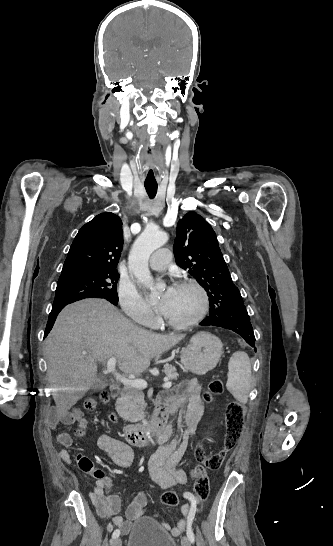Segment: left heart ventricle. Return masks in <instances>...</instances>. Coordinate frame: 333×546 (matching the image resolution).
<instances>
[{
	"mask_svg": "<svg viewBox=\"0 0 333 546\" xmlns=\"http://www.w3.org/2000/svg\"><path fill=\"white\" fill-rule=\"evenodd\" d=\"M201 304L199 293L192 287H175L165 315L176 322L191 320Z\"/></svg>",
	"mask_w": 333,
	"mask_h": 546,
	"instance_id": "b2bd125f",
	"label": "left heart ventricle"
}]
</instances>
